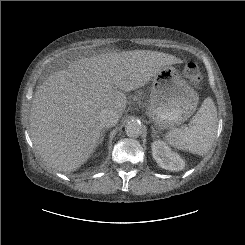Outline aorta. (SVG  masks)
<instances>
[{"label":"aorta","instance_id":"aorta-1","mask_svg":"<svg viewBox=\"0 0 245 245\" xmlns=\"http://www.w3.org/2000/svg\"><path fill=\"white\" fill-rule=\"evenodd\" d=\"M125 132L128 137L137 138L142 134V125L136 120H132L125 126Z\"/></svg>","mask_w":245,"mask_h":245}]
</instances>
